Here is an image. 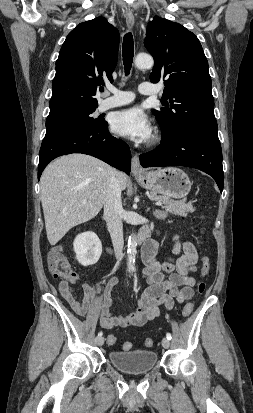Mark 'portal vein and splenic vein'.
<instances>
[{
    "instance_id": "1",
    "label": "portal vein and splenic vein",
    "mask_w": 253,
    "mask_h": 413,
    "mask_svg": "<svg viewBox=\"0 0 253 413\" xmlns=\"http://www.w3.org/2000/svg\"><path fill=\"white\" fill-rule=\"evenodd\" d=\"M82 203L85 204V203H86V200H83ZM156 205H161V202L157 201V202H156Z\"/></svg>"
}]
</instances>
